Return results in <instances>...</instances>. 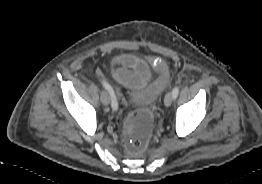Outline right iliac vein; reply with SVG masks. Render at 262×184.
<instances>
[{
    "instance_id": "1",
    "label": "right iliac vein",
    "mask_w": 262,
    "mask_h": 184,
    "mask_svg": "<svg viewBox=\"0 0 262 184\" xmlns=\"http://www.w3.org/2000/svg\"><path fill=\"white\" fill-rule=\"evenodd\" d=\"M101 102L104 105H108L110 103V97L109 94L106 91H103L100 96Z\"/></svg>"
}]
</instances>
